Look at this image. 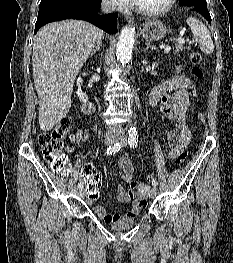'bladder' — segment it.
Here are the masks:
<instances>
[{
  "mask_svg": "<svg viewBox=\"0 0 233 263\" xmlns=\"http://www.w3.org/2000/svg\"><path fill=\"white\" fill-rule=\"evenodd\" d=\"M135 223H136L135 216L124 217V218H121L120 220H118L116 222H113L110 225V228L113 231H123V230H127V229L131 228Z\"/></svg>",
  "mask_w": 233,
  "mask_h": 263,
  "instance_id": "obj_1",
  "label": "bladder"
}]
</instances>
